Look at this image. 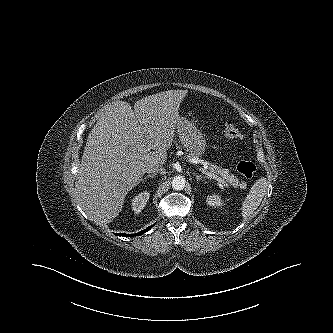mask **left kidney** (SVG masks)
Wrapping results in <instances>:
<instances>
[{"instance_id": "left-kidney-1", "label": "left kidney", "mask_w": 333, "mask_h": 333, "mask_svg": "<svg viewBox=\"0 0 333 333\" xmlns=\"http://www.w3.org/2000/svg\"><path fill=\"white\" fill-rule=\"evenodd\" d=\"M206 202L209 206H212L214 208H222V206L224 205L223 200L221 199V196L219 194L207 196Z\"/></svg>"}]
</instances>
